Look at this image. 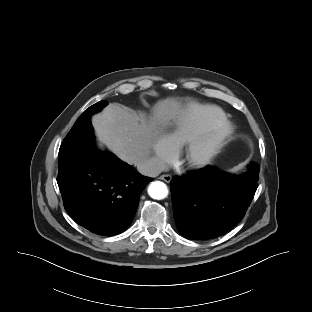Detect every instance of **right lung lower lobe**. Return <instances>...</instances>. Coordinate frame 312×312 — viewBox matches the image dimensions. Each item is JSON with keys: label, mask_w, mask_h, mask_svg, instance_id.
<instances>
[{"label": "right lung lower lobe", "mask_w": 312, "mask_h": 312, "mask_svg": "<svg viewBox=\"0 0 312 312\" xmlns=\"http://www.w3.org/2000/svg\"><path fill=\"white\" fill-rule=\"evenodd\" d=\"M152 180L90 143L68 169L59 171L57 183L75 222L95 234L112 236L130 226L140 194Z\"/></svg>", "instance_id": "1"}]
</instances>
